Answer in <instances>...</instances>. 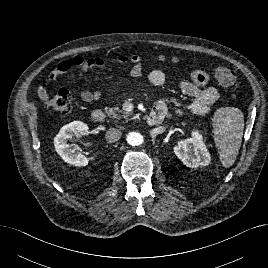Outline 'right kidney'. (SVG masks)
Returning <instances> with one entry per match:
<instances>
[{
    "mask_svg": "<svg viewBox=\"0 0 268 268\" xmlns=\"http://www.w3.org/2000/svg\"><path fill=\"white\" fill-rule=\"evenodd\" d=\"M88 129V125L84 122L73 121L63 126L54 138L55 150L66 163L76 167H83L87 166L89 161L94 159V156L87 158L67 143L68 139L74 134H88Z\"/></svg>",
    "mask_w": 268,
    "mask_h": 268,
    "instance_id": "1",
    "label": "right kidney"
}]
</instances>
